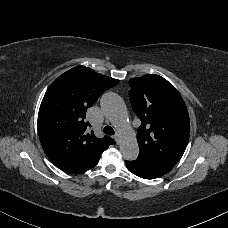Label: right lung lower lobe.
<instances>
[{
	"mask_svg": "<svg viewBox=\"0 0 228 228\" xmlns=\"http://www.w3.org/2000/svg\"><path fill=\"white\" fill-rule=\"evenodd\" d=\"M100 155L93 157L91 159H89L88 161H86L85 163H83L82 165L78 166L77 168H75L73 171L69 172V173H81L87 169H90L92 167H94L98 161H99Z\"/></svg>",
	"mask_w": 228,
	"mask_h": 228,
	"instance_id": "1",
	"label": "right lung lower lobe"
}]
</instances>
